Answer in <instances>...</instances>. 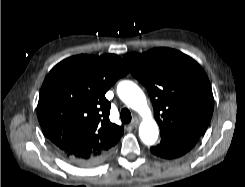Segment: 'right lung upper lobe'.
<instances>
[{
	"label": "right lung upper lobe",
	"mask_w": 245,
	"mask_h": 187,
	"mask_svg": "<svg viewBox=\"0 0 245 187\" xmlns=\"http://www.w3.org/2000/svg\"><path fill=\"white\" fill-rule=\"evenodd\" d=\"M128 72L114 54L72 56L49 72L37 116L44 135L62 156L89 160L117 144L123 128L110 122L105 93Z\"/></svg>",
	"instance_id": "cb5924a9"
}]
</instances>
